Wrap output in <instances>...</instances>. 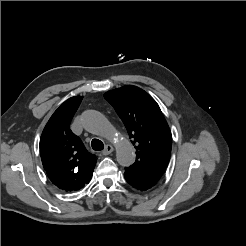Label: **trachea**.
Listing matches in <instances>:
<instances>
[{"mask_svg":"<svg viewBox=\"0 0 246 246\" xmlns=\"http://www.w3.org/2000/svg\"><path fill=\"white\" fill-rule=\"evenodd\" d=\"M91 146H92L93 150H95V151H101L104 149V144L99 139H93L91 141Z\"/></svg>","mask_w":246,"mask_h":246,"instance_id":"trachea-1","label":"trachea"}]
</instances>
